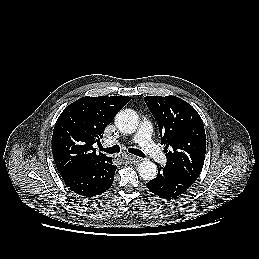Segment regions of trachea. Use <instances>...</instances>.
I'll list each match as a JSON object with an SVG mask.
<instances>
[{
    "label": "trachea",
    "instance_id": "trachea-1",
    "mask_svg": "<svg viewBox=\"0 0 259 259\" xmlns=\"http://www.w3.org/2000/svg\"><path fill=\"white\" fill-rule=\"evenodd\" d=\"M99 149L103 152L108 153V154H114V153L120 152V147L118 145H114V146L109 147V148H103L102 146H100ZM129 152L131 154H134V155L139 156V157H145V154L142 151H140L139 149L130 148Z\"/></svg>",
    "mask_w": 259,
    "mask_h": 259
}]
</instances>
